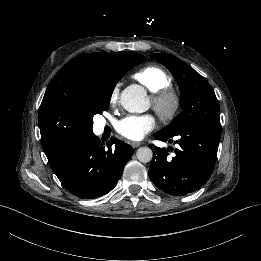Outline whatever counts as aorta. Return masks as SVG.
Masks as SVG:
<instances>
[{
	"label": "aorta",
	"instance_id": "aorta-1",
	"mask_svg": "<svg viewBox=\"0 0 261 261\" xmlns=\"http://www.w3.org/2000/svg\"><path fill=\"white\" fill-rule=\"evenodd\" d=\"M120 102L127 111L134 113H143L150 106V100L145 91L142 89L136 91L134 86H129L121 92ZM136 156L138 161L148 163L153 158V152L149 147H140L136 152Z\"/></svg>",
	"mask_w": 261,
	"mask_h": 261
}]
</instances>
